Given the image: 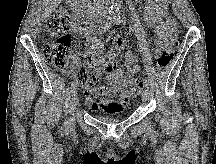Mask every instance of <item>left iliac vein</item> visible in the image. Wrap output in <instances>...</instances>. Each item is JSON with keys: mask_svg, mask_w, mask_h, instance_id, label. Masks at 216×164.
<instances>
[{"mask_svg": "<svg viewBox=\"0 0 216 164\" xmlns=\"http://www.w3.org/2000/svg\"><path fill=\"white\" fill-rule=\"evenodd\" d=\"M148 94H149V90H148V88L146 87V88L144 89L143 93H142V101H143L144 103H146L147 100H148Z\"/></svg>", "mask_w": 216, "mask_h": 164, "instance_id": "4c4485c4", "label": "left iliac vein"}]
</instances>
